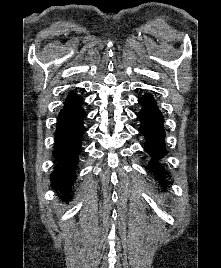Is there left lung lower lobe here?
Masks as SVG:
<instances>
[{
	"label": "left lung lower lobe",
	"instance_id": "obj_1",
	"mask_svg": "<svg viewBox=\"0 0 221 268\" xmlns=\"http://www.w3.org/2000/svg\"><path fill=\"white\" fill-rule=\"evenodd\" d=\"M139 103L142 105V109L137 115L142 122L139 132L143 134L146 139L145 151L152 156L150 165L154 173L160 172L159 176L162 178V166L158 163V160L167 154L165 149L163 116L150 94H145L141 97ZM160 184L162 187L166 186V183L162 180Z\"/></svg>",
	"mask_w": 221,
	"mask_h": 268
}]
</instances>
